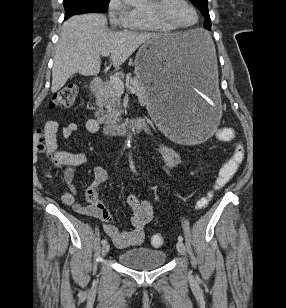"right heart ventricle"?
Segmentation results:
<instances>
[{
  "instance_id": "obj_1",
  "label": "right heart ventricle",
  "mask_w": 286,
  "mask_h": 308,
  "mask_svg": "<svg viewBox=\"0 0 286 308\" xmlns=\"http://www.w3.org/2000/svg\"><path fill=\"white\" fill-rule=\"evenodd\" d=\"M136 11V16H135V21L134 24L130 27L132 31L136 32H162V33H167V32H172L174 29L159 24L153 19H151L146 11L142 10H135Z\"/></svg>"
}]
</instances>
